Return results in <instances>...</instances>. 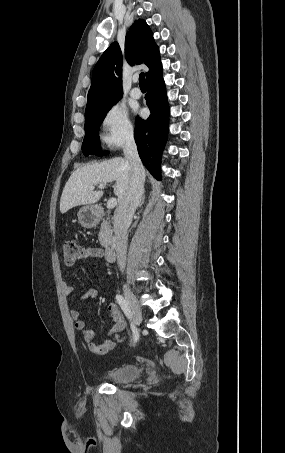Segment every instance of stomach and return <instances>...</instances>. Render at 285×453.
Here are the masks:
<instances>
[{
  "mask_svg": "<svg viewBox=\"0 0 285 453\" xmlns=\"http://www.w3.org/2000/svg\"><path fill=\"white\" fill-rule=\"evenodd\" d=\"M77 215L79 223L84 228H92L98 223V214L92 206H83Z\"/></svg>",
  "mask_w": 285,
  "mask_h": 453,
  "instance_id": "stomach-1",
  "label": "stomach"
}]
</instances>
